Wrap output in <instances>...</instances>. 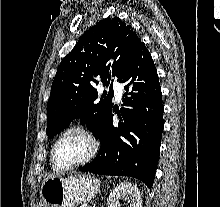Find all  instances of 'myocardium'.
I'll use <instances>...</instances> for the list:
<instances>
[{
  "instance_id": "f54148a6",
  "label": "myocardium",
  "mask_w": 220,
  "mask_h": 207,
  "mask_svg": "<svg viewBox=\"0 0 220 207\" xmlns=\"http://www.w3.org/2000/svg\"><path fill=\"white\" fill-rule=\"evenodd\" d=\"M69 133H79L83 135L90 143V151L87 154V156L83 158L82 160L76 163L70 164V165L61 166L56 161L55 152H56V148L60 140ZM99 148H100V143L97 137L88 128L81 126V125L70 126L64 129L62 132H60L59 135L56 137L51 148V161H52L53 166L58 170L65 171V170L75 169V168L81 167L91 162L98 154Z\"/></svg>"
}]
</instances>
